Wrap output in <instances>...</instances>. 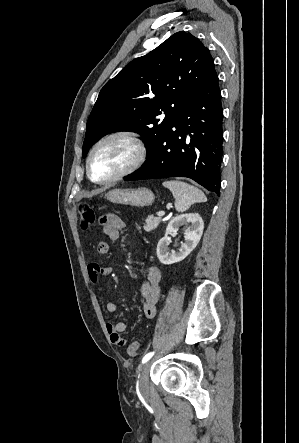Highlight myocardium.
Returning a JSON list of instances; mask_svg holds the SVG:
<instances>
[{
    "label": "myocardium",
    "instance_id": "obj_1",
    "mask_svg": "<svg viewBox=\"0 0 299 443\" xmlns=\"http://www.w3.org/2000/svg\"><path fill=\"white\" fill-rule=\"evenodd\" d=\"M113 139H120V140L128 142L134 150V156H133L132 160L129 162V164L127 166H125L122 170L117 172L116 174H114L110 177L104 178V179H95L91 173V163H92L93 157H94L95 153L97 152V150L104 143H106L110 140H113ZM146 155H147V148H146L145 142L138 133H136L134 131H129V130L115 131V132H112L110 134L103 136L91 147L88 157H87V161H86V173H87L88 178L93 183L108 184V183L117 181V180L135 172L136 170H138L143 165V163L146 159Z\"/></svg>",
    "mask_w": 299,
    "mask_h": 443
}]
</instances>
